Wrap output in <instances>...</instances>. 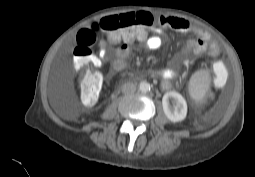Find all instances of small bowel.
<instances>
[{
    "instance_id": "c3829d8e",
    "label": "small bowel",
    "mask_w": 255,
    "mask_h": 177,
    "mask_svg": "<svg viewBox=\"0 0 255 177\" xmlns=\"http://www.w3.org/2000/svg\"><path fill=\"white\" fill-rule=\"evenodd\" d=\"M163 27H170L173 30L181 33H194L197 38L190 40L184 46L185 53H192L195 56L207 54L213 59H216L219 54V48L216 43L211 41L210 34L192 23L191 21L174 16H161L159 18V25L150 31L143 32L135 41L142 43L149 50H158L162 46ZM108 54V49L105 45L99 50V58L104 59ZM129 56V42H125L116 48L114 58L112 61V69L115 72L122 71L127 66V59ZM99 60L94 61L98 64ZM153 74L162 77L161 88L163 90H170L172 88V79L178 76L175 69L167 68L164 70H155Z\"/></svg>"
}]
</instances>
